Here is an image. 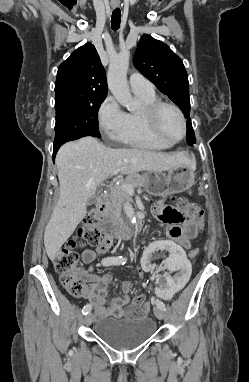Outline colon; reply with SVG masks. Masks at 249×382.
Returning <instances> with one entry per match:
<instances>
[{
    "instance_id": "5ec220e1",
    "label": "colon",
    "mask_w": 249,
    "mask_h": 382,
    "mask_svg": "<svg viewBox=\"0 0 249 382\" xmlns=\"http://www.w3.org/2000/svg\"><path fill=\"white\" fill-rule=\"evenodd\" d=\"M183 210L198 223L203 224L204 214L195 204L183 201L181 204ZM169 216V212H166ZM83 225L80 235L90 245L102 243V232L98 225V215L95 211L88 213L83 219ZM76 240H70L59 250L53 257V265L55 271L61 276V283L67 292L74 297H81L86 290V284L76 273L78 264V253L76 251ZM198 248H193L189 252L191 258L197 257ZM136 306L148 308L144 294H139L134 299Z\"/></svg>"
}]
</instances>
